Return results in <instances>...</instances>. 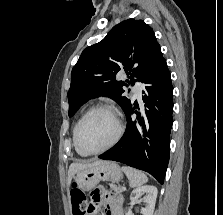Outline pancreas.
Instances as JSON below:
<instances>
[{
	"label": "pancreas",
	"mask_w": 223,
	"mask_h": 215,
	"mask_svg": "<svg viewBox=\"0 0 223 215\" xmlns=\"http://www.w3.org/2000/svg\"><path fill=\"white\" fill-rule=\"evenodd\" d=\"M109 185L111 189H114V191H124L121 185H115V183H109Z\"/></svg>",
	"instance_id": "cf45deb5"
}]
</instances>
